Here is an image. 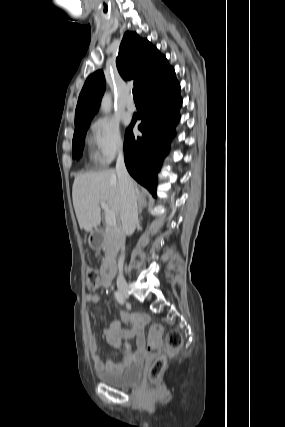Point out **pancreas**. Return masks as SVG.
Instances as JSON below:
<instances>
[{"label":"pancreas","instance_id":"1","mask_svg":"<svg viewBox=\"0 0 285 427\" xmlns=\"http://www.w3.org/2000/svg\"><path fill=\"white\" fill-rule=\"evenodd\" d=\"M104 243L107 247V255L119 249L121 244V231L118 227L107 226L104 232Z\"/></svg>","mask_w":285,"mask_h":427}]
</instances>
